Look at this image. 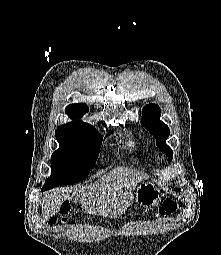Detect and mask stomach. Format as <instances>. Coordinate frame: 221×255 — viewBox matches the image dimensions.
Segmentation results:
<instances>
[{
	"label": "stomach",
	"mask_w": 221,
	"mask_h": 255,
	"mask_svg": "<svg viewBox=\"0 0 221 255\" xmlns=\"http://www.w3.org/2000/svg\"><path fill=\"white\" fill-rule=\"evenodd\" d=\"M161 196V191L155 184L141 182L136 189L135 202L147 209L155 206L160 201Z\"/></svg>",
	"instance_id": "stomach-1"
}]
</instances>
